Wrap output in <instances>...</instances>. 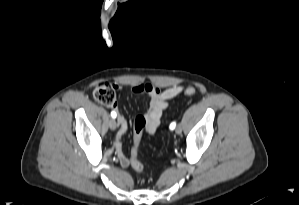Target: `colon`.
<instances>
[{
  "label": "colon",
  "mask_w": 299,
  "mask_h": 205,
  "mask_svg": "<svg viewBox=\"0 0 299 205\" xmlns=\"http://www.w3.org/2000/svg\"><path fill=\"white\" fill-rule=\"evenodd\" d=\"M184 94L187 96H194L196 91L192 87H187L184 89ZM93 97L100 104L106 107L116 106V93L115 87L108 82H98L93 88ZM146 126V119L144 116L140 115L135 118L134 121V140L133 147L131 150L130 165L135 173L142 174L144 171V166L138 158V148L141 134Z\"/></svg>",
  "instance_id": "1"
}]
</instances>
